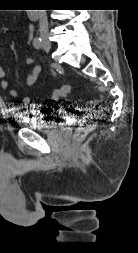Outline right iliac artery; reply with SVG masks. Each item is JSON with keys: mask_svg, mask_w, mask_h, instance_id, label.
Returning a JSON list of instances; mask_svg holds the SVG:
<instances>
[{"mask_svg": "<svg viewBox=\"0 0 138 253\" xmlns=\"http://www.w3.org/2000/svg\"><path fill=\"white\" fill-rule=\"evenodd\" d=\"M33 46L36 48V49H41L42 48V40L41 38H35L33 40Z\"/></svg>", "mask_w": 138, "mask_h": 253, "instance_id": "1", "label": "right iliac artery"}]
</instances>
